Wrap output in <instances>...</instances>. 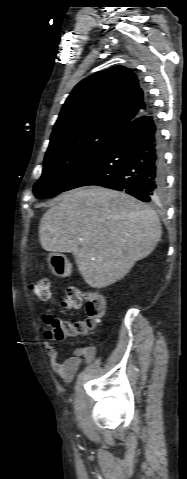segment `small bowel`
Masks as SVG:
<instances>
[{
	"label": "small bowel",
	"mask_w": 187,
	"mask_h": 479,
	"mask_svg": "<svg viewBox=\"0 0 187 479\" xmlns=\"http://www.w3.org/2000/svg\"><path fill=\"white\" fill-rule=\"evenodd\" d=\"M49 340L54 339L45 341L44 348L50 360L51 369L65 381H70L80 370L83 358L86 363H91L95 358L94 347L81 346L73 348L69 357L59 359L57 348Z\"/></svg>",
	"instance_id": "small-bowel-1"
}]
</instances>
